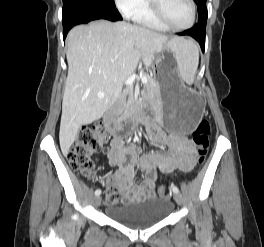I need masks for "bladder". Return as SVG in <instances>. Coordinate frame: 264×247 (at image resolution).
<instances>
[{"label": "bladder", "mask_w": 264, "mask_h": 247, "mask_svg": "<svg viewBox=\"0 0 264 247\" xmlns=\"http://www.w3.org/2000/svg\"><path fill=\"white\" fill-rule=\"evenodd\" d=\"M171 210L172 203L169 199L150 198L129 201L122 206H112L107 212L110 219L121 225L143 229L163 221Z\"/></svg>", "instance_id": "1"}]
</instances>
